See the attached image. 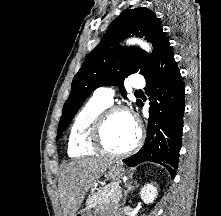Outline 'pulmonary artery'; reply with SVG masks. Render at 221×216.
<instances>
[{
  "label": "pulmonary artery",
  "instance_id": "obj_1",
  "mask_svg": "<svg viewBox=\"0 0 221 216\" xmlns=\"http://www.w3.org/2000/svg\"><path fill=\"white\" fill-rule=\"evenodd\" d=\"M130 85L134 89H141L145 86V81L142 77H136L131 81ZM113 96H114L113 88L101 87L95 90L93 94V99L107 106H110L113 102Z\"/></svg>",
  "mask_w": 221,
  "mask_h": 216
}]
</instances>
